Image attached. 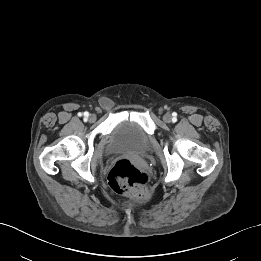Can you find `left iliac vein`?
<instances>
[{"instance_id": "left-iliac-vein-1", "label": "left iliac vein", "mask_w": 261, "mask_h": 261, "mask_svg": "<svg viewBox=\"0 0 261 261\" xmlns=\"http://www.w3.org/2000/svg\"><path fill=\"white\" fill-rule=\"evenodd\" d=\"M163 120L166 122V123H170L172 121V116L167 113L163 116Z\"/></svg>"}]
</instances>
